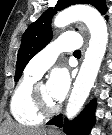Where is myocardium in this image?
Masks as SVG:
<instances>
[{"label": "myocardium", "instance_id": "1", "mask_svg": "<svg viewBox=\"0 0 112 135\" xmlns=\"http://www.w3.org/2000/svg\"><path fill=\"white\" fill-rule=\"evenodd\" d=\"M40 84H41L40 82L35 83L31 90L32 105H33L34 109L36 110V112L43 117L54 115L55 113H57L59 111L60 105L56 104L53 107H49V106L45 105V103L43 102V100L39 94Z\"/></svg>", "mask_w": 112, "mask_h": 135}]
</instances>
